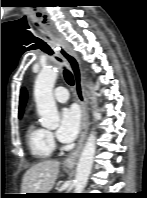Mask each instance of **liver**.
I'll list each match as a JSON object with an SVG mask.
<instances>
[{
  "label": "liver",
  "mask_w": 147,
  "mask_h": 198,
  "mask_svg": "<svg viewBox=\"0 0 147 198\" xmlns=\"http://www.w3.org/2000/svg\"><path fill=\"white\" fill-rule=\"evenodd\" d=\"M59 166L60 162L56 160H45L33 165L23 176L22 194L48 193L55 184Z\"/></svg>",
  "instance_id": "liver-1"
}]
</instances>
